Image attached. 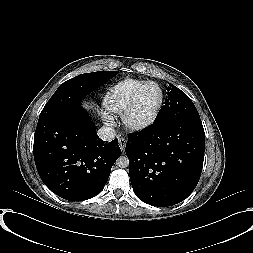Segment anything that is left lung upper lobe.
<instances>
[{
	"mask_svg": "<svg viewBox=\"0 0 253 253\" xmlns=\"http://www.w3.org/2000/svg\"><path fill=\"white\" fill-rule=\"evenodd\" d=\"M200 118L191 99L180 89L169 83L165 105L160 109L154 124L164 123L174 119Z\"/></svg>",
	"mask_w": 253,
	"mask_h": 253,
	"instance_id": "5c2ea615",
	"label": "left lung upper lobe"
}]
</instances>
